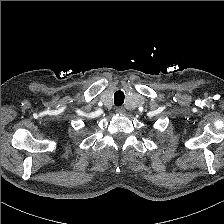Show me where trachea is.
<instances>
[{"mask_svg":"<svg viewBox=\"0 0 224 224\" xmlns=\"http://www.w3.org/2000/svg\"><path fill=\"white\" fill-rule=\"evenodd\" d=\"M125 95L122 91H117L114 94V104L117 106H121L124 102Z\"/></svg>","mask_w":224,"mask_h":224,"instance_id":"trachea-1","label":"trachea"}]
</instances>
